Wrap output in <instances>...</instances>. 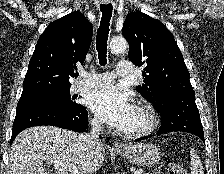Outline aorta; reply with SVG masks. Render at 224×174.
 Returning a JSON list of instances; mask_svg holds the SVG:
<instances>
[{
    "label": "aorta",
    "mask_w": 224,
    "mask_h": 174,
    "mask_svg": "<svg viewBox=\"0 0 224 174\" xmlns=\"http://www.w3.org/2000/svg\"><path fill=\"white\" fill-rule=\"evenodd\" d=\"M110 50L113 53H122L127 47V41L123 37H115L110 41Z\"/></svg>",
    "instance_id": "1"
}]
</instances>
